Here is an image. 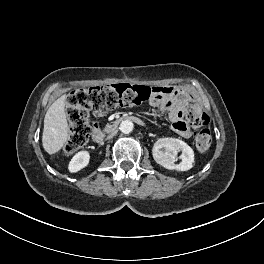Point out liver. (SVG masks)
Wrapping results in <instances>:
<instances>
[{
	"label": "liver",
	"instance_id": "obj_1",
	"mask_svg": "<svg viewBox=\"0 0 264 264\" xmlns=\"http://www.w3.org/2000/svg\"><path fill=\"white\" fill-rule=\"evenodd\" d=\"M65 99L66 96L62 95L55 100L45 114L42 144L50 155L58 152L68 138Z\"/></svg>",
	"mask_w": 264,
	"mask_h": 264
}]
</instances>
